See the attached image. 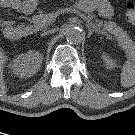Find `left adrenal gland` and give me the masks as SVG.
<instances>
[{"label": "left adrenal gland", "instance_id": "obj_1", "mask_svg": "<svg viewBox=\"0 0 135 135\" xmlns=\"http://www.w3.org/2000/svg\"><path fill=\"white\" fill-rule=\"evenodd\" d=\"M86 27L88 28V38L91 37V35L95 32V33H98V34H101V32L99 30H95V29H92L88 24L86 25Z\"/></svg>", "mask_w": 135, "mask_h": 135}]
</instances>
